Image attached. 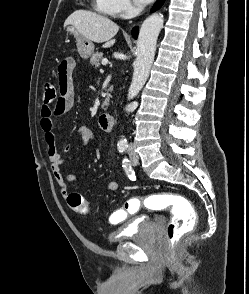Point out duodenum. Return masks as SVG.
<instances>
[{"instance_id":"obj_1","label":"duodenum","mask_w":249,"mask_h":294,"mask_svg":"<svg viewBox=\"0 0 249 294\" xmlns=\"http://www.w3.org/2000/svg\"><path fill=\"white\" fill-rule=\"evenodd\" d=\"M97 124L103 131L109 132L113 127V117L111 114L103 113L97 118Z\"/></svg>"}]
</instances>
